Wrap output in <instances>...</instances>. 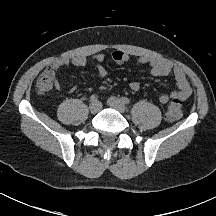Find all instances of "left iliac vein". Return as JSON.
<instances>
[{
	"label": "left iliac vein",
	"instance_id": "4c4485c4",
	"mask_svg": "<svg viewBox=\"0 0 216 216\" xmlns=\"http://www.w3.org/2000/svg\"><path fill=\"white\" fill-rule=\"evenodd\" d=\"M107 103L110 107L116 109L120 113H124L126 111V106L122 102V100L118 99L117 97H110L107 100Z\"/></svg>",
	"mask_w": 216,
	"mask_h": 216
}]
</instances>
